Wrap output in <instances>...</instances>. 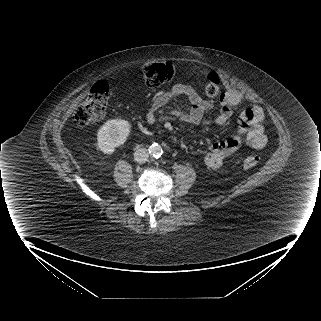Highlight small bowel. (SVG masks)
Here are the masks:
<instances>
[{"instance_id":"c3829d8e","label":"small bowel","mask_w":321,"mask_h":321,"mask_svg":"<svg viewBox=\"0 0 321 321\" xmlns=\"http://www.w3.org/2000/svg\"><path fill=\"white\" fill-rule=\"evenodd\" d=\"M186 97L191 108L188 112L178 110L167 112L163 108L169 103ZM242 103V96L236 91H227L221 97L218 114L212 123L222 125L231 120ZM212 109V103L204 98L193 87L185 84H177L171 90L159 95L149 105L146 112V122L154 124L158 121L171 119L185 123H203L208 111ZM265 114L261 106L254 104L242 110L237 119V133L223 141L213 142L202 155L204 164L209 169H218L224 160L235 152L243 143L255 150H260L267 144V134L264 127Z\"/></svg>"}]
</instances>
